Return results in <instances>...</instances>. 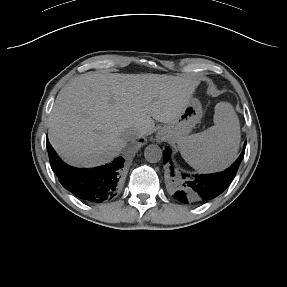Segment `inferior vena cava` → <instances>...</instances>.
Listing matches in <instances>:
<instances>
[{
    "label": "inferior vena cava",
    "mask_w": 287,
    "mask_h": 287,
    "mask_svg": "<svg viewBox=\"0 0 287 287\" xmlns=\"http://www.w3.org/2000/svg\"><path fill=\"white\" fill-rule=\"evenodd\" d=\"M144 134H145L144 131H139L134 128H129L123 132V137L126 141H132V140L142 137Z\"/></svg>",
    "instance_id": "1"
}]
</instances>
